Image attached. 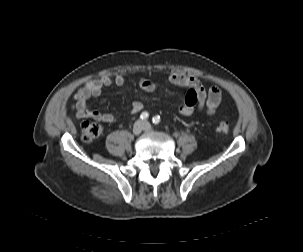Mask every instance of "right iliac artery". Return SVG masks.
Returning <instances> with one entry per match:
<instances>
[{
    "label": "right iliac artery",
    "mask_w": 303,
    "mask_h": 252,
    "mask_svg": "<svg viewBox=\"0 0 303 252\" xmlns=\"http://www.w3.org/2000/svg\"><path fill=\"white\" fill-rule=\"evenodd\" d=\"M140 118L142 120H147L149 118V114L147 112H143L141 113Z\"/></svg>",
    "instance_id": "1"
}]
</instances>
